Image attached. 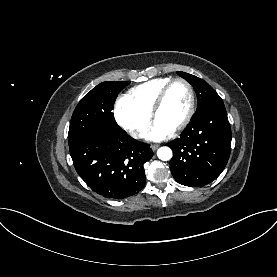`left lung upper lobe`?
Masks as SVG:
<instances>
[{
    "label": "left lung upper lobe",
    "mask_w": 277,
    "mask_h": 277,
    "mask_svg": "<svg viewBox=\"0 0 277 277\" xmlns=\"http://www.w3.org/2000/svg\"><path fill=\"white\" fill-rule=\"evenodd\" d=\"M177 74L188 81L196 92L198 100L196 114L208 107L210 104L222 100L217 92L203 79L181 71H178Z\"/></svg>",
    "instance_id": "left-lung-upper-lobe-1"
}]
</instances>
